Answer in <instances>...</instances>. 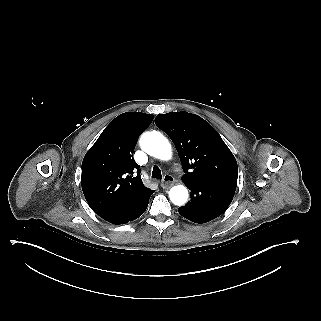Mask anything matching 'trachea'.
I'll list each match as a JSON object with an SVG mask.
<instances>
[{"mask_svg": "<svg viewBox=\"0 0 321 321\" xmlns=\"http://www.w3.org/2000/svg\"><path fill=\"white\" fill-rule=\"evenodd\" d=\"M152 178L153 179H157L158 181H161L162 174H161V170H160V168L158 166H154L153 167Z\"/></svg>", "mask_w": 321, "mask_h": 321, "instance_id": "1", "label": "trachea"}]
</instances>
